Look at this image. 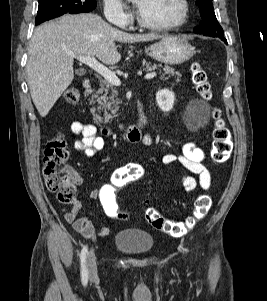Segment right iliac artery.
I'll list each match as a JSON object with an SVG mask.
<instances>
[{
	"label": "right iliac artery",
	"mask_w": 267,
	"mask_h": 301,
	"mask_svg": "<svg viewBox=\"0 0 267 301\" xmlns=\"http://www.w3.org/2000/svg\"><path fill=\"white\" fill-rule=\"evenodd\" d=\"M88 247L87 245L83 247L80 253V262H81V281L83 284H87L88 281V271L86 268V253Z\"/></svg>",
	"instance_id": "1"
}]
</instances>
